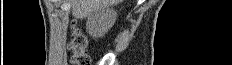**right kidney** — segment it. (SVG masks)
<instances>
[{"label":"right kidney","mask_w":232,"mask_h":65,"mask_svg":"<svg viewBox=\"0 0 232 65\" xmlns=\"http://www.w3.org/2000/svg\"><path fill=\"white\" fill-rule=\"evenodd\" d=\"M117 13L113 8H103L88 17L86 30L95 37H103L114 25Z\"/></svg>","instance_id":"right-kidney-1"}]
</instances>
